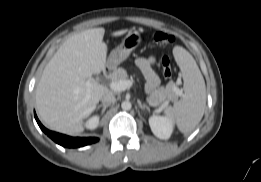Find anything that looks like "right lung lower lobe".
Segmentation results:
<instances>
[{
	"label": "right lung lower lobe",
	"instance_id": "obj_1",
	"mask_svg": "<svg viewBox=\"0 0 261 182\" xmlns=\"http://www.w3.org/2000/svg\"><path fill=\"white\" fill-rule=\"evenodd\" d=\"M35 119L39 127L42 129V131L46 133L57 144L62 145L63 147H69V148L82 147L98 141V138L95 137H89V138L70 137L53 131H49L40 123L36 114H35Z\"/></svg>",
	"mask_w": 261,
	"mask_h": 182
}]
</instances>
